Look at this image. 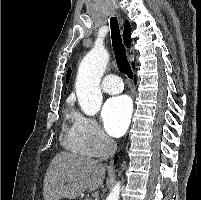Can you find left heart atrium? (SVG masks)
Wrapping results in <instances>:
<instances>
[{
	"label": "left heart atrium",
	"mask_w": 201,
	"mask_h": 200,
	"mask_svg": "<svg viewBox=\"0 0 201 200\" xmlns=\"http://www.w3.org/2000/svg\"><path fill=\"white\" fill-rule=\"evenodd\" d=\"M132 114L131 101L117 96L106 101L102 108V120L108 134L119 137L127 130Z\"/></svg>",
	"instance_id": "obj_1"
}]
</instances>
